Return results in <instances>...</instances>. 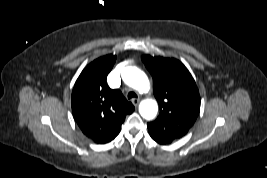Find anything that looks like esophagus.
I'll return each mask as SVG.
<instances>
[{"instance_id": "esophagus-1", "label": "esophagus", "mask_w": 267, "mask_h": 178, "mask_svg": "<svg viewBox=\"0 0 267 178\" xmlns=\"http://www.w3.org/2000/svg\"><path fill=\"white\" fill-rule=\"evenodd\" d=\"M139 102H140L139 98H133L132 99V103H133L134 106H138Z\"/></svg>"}]
</instances>
